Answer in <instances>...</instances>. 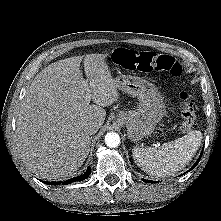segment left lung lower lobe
<instances>
[{
    "instance_id": "left-lung-lower-lobe-1",
    "label": "left lung lower lobe",
    "mask_w": 221,
    "mask_h": 221,
    "mask_svg": "<svg viewBox=\"0 0 221 221\" xmlns=\"http://www.w3.org/2000/svg\"><path fill=\"white\" fill-rule=\"evenodd\" d=\"M201 156H202V153H201ZM201 156H200V158H201ZM200 158L198 159V161L196 162V164L191 168V170L194 169V168L196 167V165L198 164ZM143 181H144V182H147V183L152 182V181L145 180V179H143Z\"/></svg>"
}]
</instances>
